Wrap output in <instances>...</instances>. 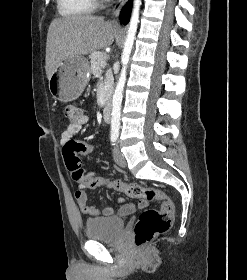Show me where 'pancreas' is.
<instances>
[{"instance_id": "pancreas-1", "label": "pancreas", "mask_w": 247, "mask_h": 280, "mask_svg": "<svg viewBox=\"0 0 247 280\" xmlns=\"http://www.w3.org/2000/svg\"><path fill=\"white\" fill-rule=\"evenodd\" d=\"M89 59H90V64H91L90 68L92 70V73L94 75H100L102 69L104 68L102 66V63H106L105 53L99 52V51H94L90 54ZM111 79H112V75H111V73H108L106 76V80H105V84H106L105 90L106 91H108V84L111 81ZM106 98H107V96H106Z\"/></svg>"}]
</instances>
